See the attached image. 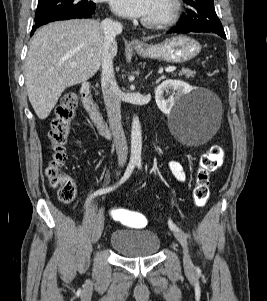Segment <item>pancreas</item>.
Instances as JSON below:
<instances>
[{"mask_svg":"<svg viewBox=\"0 0 267 301\" xmlns=\"http://www.w3.org/2000/svg\"><path fill=\"white\" fill-rule=\"evenodd\" d=\"M195 73H196L195 71H191L188 68H182V70L179 72V75L181 76L184 75L187 78H190V77H194Z\"/></svg>","mask_w":267,"mask_h":301,"instance_id":"obj_1","label":"pancreas"}]
</instances>
